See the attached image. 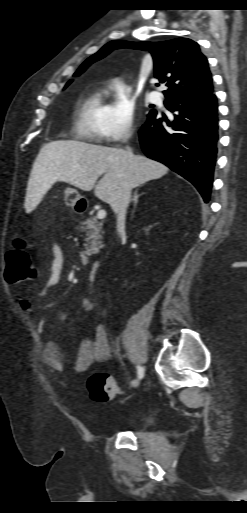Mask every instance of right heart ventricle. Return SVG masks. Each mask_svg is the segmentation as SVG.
<instances>
[{"instance_id": "e07e8e85", "label": "right heart ventricle", "mask_w": 247, "mask_h": 513, "mask_svg": "<svg viewBox=\"0 0 247 513\" xmlns=\"http://www.w3.org/2000/svg\"><path fill=\"white\" fill-rule=\"evenodd\" d=\"M104 87H97L77 101L73 122L76 137L88 141H98L102 135V125L108 105L104 101Z\"/></svg>"}]
</instances>
